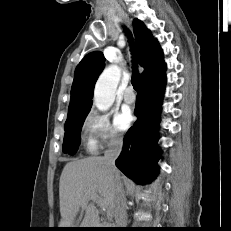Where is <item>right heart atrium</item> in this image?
Segmentation results:
<instances>
[{
  "label": "right heart atrium",
  "mask_w": 231,
  "mask_h": 231,
  "mask_svg": "<svg viewBox=\"0 0 231 231\" xmlns=\"http://www.w3.org/2000/svg\"><path fill=\"white\" fill-rule=\"evenodd\" d=\"M82 130L92 152L122 141L121 133L107 112L90 110L84 118Z\"/></svg>",
  "instance_id": "1"
}]
</instances>
